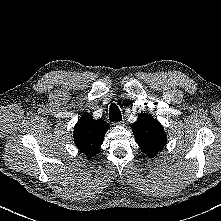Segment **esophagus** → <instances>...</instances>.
I'll return each instance as SVG.
<instances>
[{
  "label": "esophagus",
  "instance_id": "1",
  "mask_svg": "<svg viewBox=\"0 0 221 221\" xmlns=\"http://www.w3.org/2000/svg\"><path fill=\"white\" fill-rule=\"evenodd\" d=\"M113 125L114 126H124L125 125V121L122 120V121H119V122H115Z\"/></svg>",
  "mask_w": 221,
  "mask_h": 221
}]
</instances>
